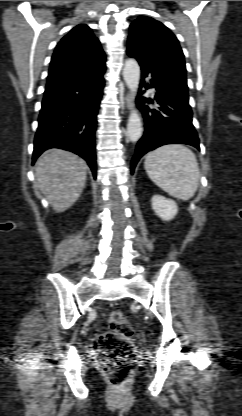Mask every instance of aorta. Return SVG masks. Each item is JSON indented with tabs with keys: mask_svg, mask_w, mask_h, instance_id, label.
I'll list each match as a JSON object with an SVG mask.
<instances>
[{
	"mask_svg": "<svg viewBox=\"0 0 242 416\" xmlns=\"http://www.w3.org/2000/svg\"><path fill=\"white\" fill-rule=\"evenodd\" d=\"M123 78L132 95L135 96L140 80V67L135 59H128L123 68ZM143 132L141 118L136 109H134L127 123V136L132 142H137Z\"/></svg>",
	"mask_w": 242,
	"mask_h": 416,
	"instance_id": "aorta-1",
	"label": "aorta"
}]
</instances>
